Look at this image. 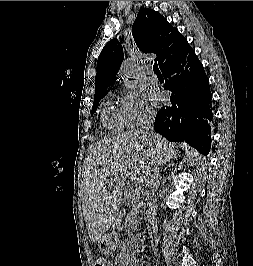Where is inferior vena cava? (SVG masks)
Listing matches in <instances>:
<instances>
[{"instance_id": "inferior-vena-cava-1", "label": "inferior vena cava", "mask_w": 253, "mask_h": 266, "mask_svg": "<svg viewBox=\"0 0 253 266\" xmlns=\"http://www.w3.org/2000/svg\"><path fill=\"white\" fill-rule=\"evenodd\" d=\"M153 123H154V113H148L143 116L141 121L140 133L149 141L153 140ZM152 147V145H151ZM154 176L150 173L148 174L150 177L145 179V191L142 193V199L146 201L147 210L146 215L148 217V221L154 226L155 223V208H154V200L157 189V184L155 181V175H157V171H154Z\"/></svg>"}]
</instances>
